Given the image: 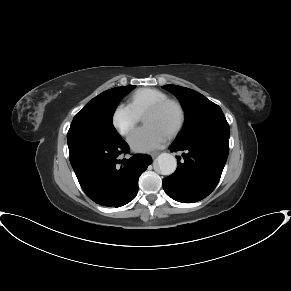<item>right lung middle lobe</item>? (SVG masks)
Returning <instances> with one entry per match:
<instances>
[{
    "instance_id": "right-lung-middle-lobe-1",
    "label": "right lung middle lobe",
    "mask_w": 291,
    "mask_h": 291,
    "mask_svg": "<svg viewBox=\"0 0 291 291\" xmlns=\"http://www.w3.org/2000/svg\"><path fill=\"white\" fill-rule=\"evenodd\" d=\"M134 87H116L90 100L73 118L67 139L88 138L102 142L122 139L112 124V116L121 99Z\"/></svg>"
}]
</instances>
